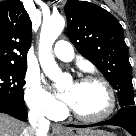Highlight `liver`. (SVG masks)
Segmentation results:
<instances>
[{
	"mask_svg": "<svg viewBox=\"0 0 136 136\" xmlns=\"http://www.w3.org/2000/svg\"><path fill=\"white\" fill-rule=\"evenodd\" d=\"M90 129H78L77 132H86ZM34 134L25 123L18 121L6 114L0 113V136H29Z\"/></svg>",
	"mask_w": 136,
	"mask_h": 136,
	"instance_id": "obj_1",
	"label": "liver"
}]
</instances>
